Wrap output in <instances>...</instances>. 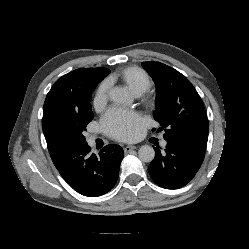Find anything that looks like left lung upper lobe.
I'll return each mask as SVG.
<instances>
[{"label": "left lung upper lobe", "mask_w": 249, "mask_h": 249, "mask_svg": "<svg viewBox=\"0 0 249 249\" xmlns=\"http://www.w3.org/2000/svg\"><path fill=\"white\" fill-rule=\"evenodd\" d=\"M142 66L156 85L154 119L161 130L165 128L164 139L205 151L209 123L203 102L191 82L160 62H142Z\"/></svg>", "instance_id": "left-lung-upper-lobe-1"}]
</instances>
